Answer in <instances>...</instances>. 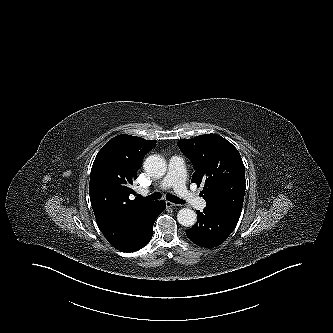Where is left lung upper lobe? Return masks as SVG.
<instances>
[{
	"label": "left lung upper lobe",
	"mask_w": 333,
	"mask_h": 333,
	"mask_svg": "<svg viewBox=\"0 0 333 333\" xmlns=\"http://www.w3.org/2000/svg\"><path fill=\"white\" fill-rule=\"evenodd\" d=\"M178 146L193 163L191 183L204 185L201 194L207 206L239 220L246 185L238 150L216 134L179 140Z\"/></svg>",
	"instance_id": "1"
}]
</instances>
